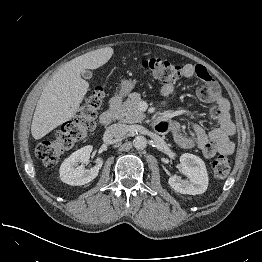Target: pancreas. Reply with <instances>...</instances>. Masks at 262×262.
<instances>
[{
    "mask_svg": "<svg viewBox=\"0 0 262 262\" xmlns=\"http://www.w3.org/2000/svg\"><path fill=\"white\" fill-rule=\"evenodd\" d=\"M141 102L139 93H131L128 99L117 108L115 115L123 123L142 122L145 114L138 109V104Z\"/></svg>",
    "mask_w": 262,
    "mask_h": 262,
    "instance_id": "1",
    "label": "pancreas"
}]
</instances>
